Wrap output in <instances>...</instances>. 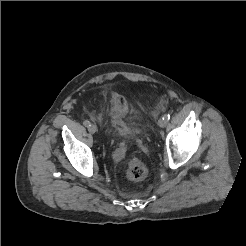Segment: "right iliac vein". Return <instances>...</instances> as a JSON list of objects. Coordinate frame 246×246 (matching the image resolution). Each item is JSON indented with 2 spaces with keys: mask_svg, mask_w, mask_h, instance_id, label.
Returning a JSON list of instances; mask_svg holds the SVG:
<instances>
[{
  "mask_svg": "<svg viewBox=\"0 0 246 246\" xmlns=\"http://www.w3.org/2000/svg\"><path fill=\"white\" fill-rule=\"evenodd\" d=\"M88 130H89L90 133L94 134V133H96V131H97V126L94 125V124H91V125L88 127Z\"/></svg>",
  "mask_w": 246,
  "mask_h": 246,
  "instance_id": "1",
  "label": "right iliac vein"
}]
</instances>
